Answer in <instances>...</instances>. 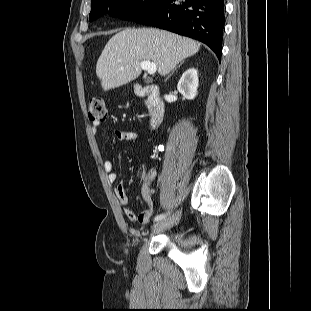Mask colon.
Wrapping results in <instances>:
<instances>
[{
	"mask_svg": "<svg viewBox=\"0 0 311 311\" xmlns=\"http://www.w3.org/2000/svg\"><path fill=\"white\" fill-rule=\"evenodd\" d=\"M106 117L105 103L101 98H92L88 106V118L92 122H100Z\"/></svg>",
	"mask_w": 311,
	"mask_h": 311,
	"instance_id": "1",
	"label": "colon"
}]
</instances>
